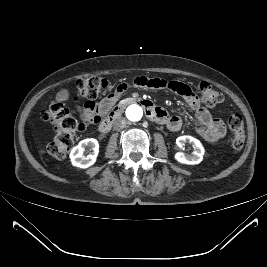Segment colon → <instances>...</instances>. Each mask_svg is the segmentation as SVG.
I'll return each instance as SVG.
<instances>
[{
	"instance_id": "1",
	"label": "colon",
	"mask_w": 267,
	"mask_h": 267,
	"mask_svg": "<svg viewBox=\"0 0 267 267\" xmlns=\"http://www.w3.org/2000/svg\"><path fill=\"white\" fill-rule=\"evenodd\" d=\"M79 98L95 100L101 96L108 88L109 81L100 76H91L77 80L75 84ZM200 99L203 104L215 107L222 103L223 95L213 88L209 83L202 82L199 87ZM41 116L44 120L52 123L55 136L43 150V153L56 158H64L73 148L77 134L83 129L84 122L77 120L71 112L60 102H52L47 109L43 110ZM228 126L234 134L232 146L236 150L243 148L245 143L243 118L239 114H233L228 118Z\"/></svg>"
}]
</instances>
